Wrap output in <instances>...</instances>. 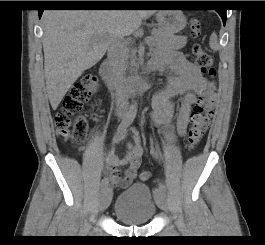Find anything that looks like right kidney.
I'll return each mask as SVG.
<instances>
[{
	"instance_id": "1",
	"label": "right kidney",
	"mask_w": 265,
	"mask_h": 245,
	"mask_svg": "<svg viewBox=\"0 0 265 245\" xmlns=\"http://www.w3.org/2000/svg\"><path fill=\"white\" fill-rule=\"evenodd\" d=\"M89 88H91L92 90L96 91V84L95 83H91L89 85Z\"/></svg>"
}]
</instances>
